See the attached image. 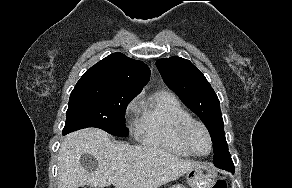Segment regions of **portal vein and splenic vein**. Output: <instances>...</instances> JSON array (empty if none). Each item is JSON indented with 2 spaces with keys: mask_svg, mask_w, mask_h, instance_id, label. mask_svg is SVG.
I'll return each mask as SVG.
<instances>
[{
  "mask_svg": "<svg viewBox=\"0 0 292 188\" xmlns=\"http://www.w3.org/2000/svg\"><path fill=\"white\" fill-rule=\"evenodd\" d=\"M125 171L124 170H121V171H119L118 173L119 174H123Z\"/></svg>",
  "mask_w": 292,
  "mask_h": 188,
  "instance_id": "1",
  "label": "portal vein and splenic vein"
}]
</instances>
